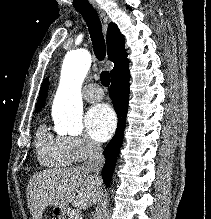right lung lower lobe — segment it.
<instances>
[{
	"mask_svg": "<svg viewBox=\"0 0 211 219\" xmlns=\"http://www.w3.org/2000/svg\"><path fill=\"white\" fill-rule=\"evenodd\" d=\"M129 79V67L111 77L110 98L117 113L118 126L114 137L104 149L106 162L103 167L102 178L106 186H109L111 181L114 165L123 140L129 98Z\"/></svg>",
	"mask_w": 211,
	"mask_h": 219,
	"instance_id": "98d812e1",
	"label": "right lung lower lobe"
}]
</instances>
